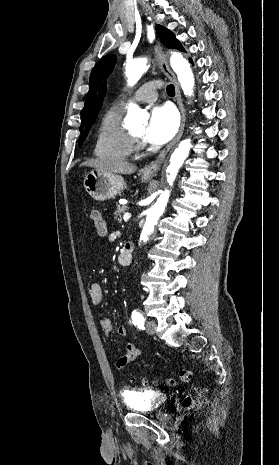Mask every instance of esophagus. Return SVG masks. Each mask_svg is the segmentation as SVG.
Returning a JSON list of instances; mask_svg holds the SVG:
<instances>
[{
	"mask_svg": "<svg viewBox=\"0 0 279 465\" xmlns=\"http://www.w3.org/2000/svg\"><path fill=\"white\" fill-rule=\"evenodd\" d=\"M155 54H156V59L159 64V67L161 68L162 72L172 81L175 87V96H176V101L181 113V125L180 129L174 138L172 142H170L158 155V157L150 162L149 164L145 165L144 168L142 169V174L146 177H153L157 174L159 171L162 163L164 162V159L168 152L171 150V148L180 140L183 131H184V126H185V120H186V115H185V109L183 106L182 98H181V92H180V87L178 84V81L176 79L175 74L172 72V70L169 67V63L167 60V57L165 53L162 50V47L159 43L155 45Z\"/></svg>",
	"mask_w": 279,
	"mask_h": 465,
	"instance_id": "obj_1",
	"label": "esophagus"
}]
</instances>
